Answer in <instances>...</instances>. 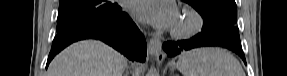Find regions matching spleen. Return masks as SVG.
Returning a JSON list of instances; mask_svg holds the SVG:
<instances>
[{"label": "spleen", "instance_id": "1", "mask_svg": "<svg viewBox=\"0 0 287 76\" xmlns=\"http://www.w3.org/2000/svg\"><path fill=\"white\" fill-rule=\"evenodd\" d=\"M177 65L184 76H245L239 61L227 50L218 47L186 51Z\"/></svg>", "mask_w": 287, "mask_h": 76}]
</instances>
